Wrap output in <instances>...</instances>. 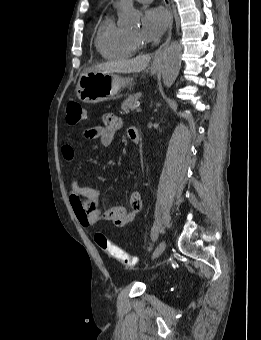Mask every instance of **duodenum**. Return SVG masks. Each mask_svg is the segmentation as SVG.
<instances>
[{
    "instance_id": "obj_1",
    "label": "duodenum",
    "mask_w": 261,
    "mask_h": 340,
    "mask_svg": "<svg viewBox=\"0 0 261 340\" xmlns=\"http://www.w3.org/2000/svg\"><path fill=\"white\" fill-rule=\"evenodd\" d=\"M132 132V140L134 142H138L139 141V133L134 129L131 131Z\"/></svg>"
}]
</instances>
